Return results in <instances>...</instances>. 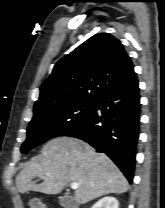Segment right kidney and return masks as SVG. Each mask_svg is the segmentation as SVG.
Instances as JSON below:
<instances>
[{"label":"right kidney","instance_id":"obj_1","mask_svg":"<svg viewBox=\"0 0 165 208\" xmlns=\"http://www.w3.org/2000/svg\"><path fill=\"white\" fill-rule=\"evenodd\" d=\"M92 208H119V203L114 197H104L95 203Z\"/></svg>","mask_w":165,"mask_h":208}]
</instances>
